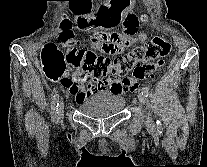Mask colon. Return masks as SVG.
Returning <instances> with one entry per match:
<instances>
[{
	"instance_id": "colon-1",
	"label": "colon",
	"mask_w": 207,
	"mask_h": 167,
	"mask_svg": "<svg viewBox=\"0 0 207 167\" xmlns=\"http://www.w3.org/2000/svg\"><path fill=\"white\" fill-rule=\"evenodd\" d=\"M72 36L69 21L63 19L59 39L67 46V61L72 65L81 66L94 77L111 74L113 67H116L121 73L133 70L135 81L152 77L162 67V58L169 51V43L164 38L156 36L145 45L111 61L91 50L76 47ZM42 69L44 74L53 81H58L62 77L64 58L54 45H48L43 52Z\"/></svg>"
}]
</instances>
